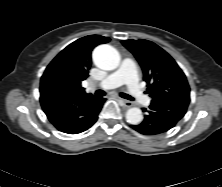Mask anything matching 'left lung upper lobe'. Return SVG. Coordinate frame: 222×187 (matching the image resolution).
Instances as JSON below:
<instances>
[{
	"instance_id": "1",
	"label": "left lung upper lobe",
	"mask_w": 222,
	"mask_h": 187,
	"mask_svg": "<svg viewBox=\"0 0 222 187\" xmlns=\"http://www.w3.org/2000/svg\"><path fill=\"white\" fill-rule=\"evenodd\" d=\"M122 44L138 60L152 102L164 98H190L185 74L175 60L162 48L147 40H123Z\"/></svg>"
}]
</instances>
